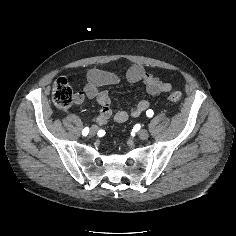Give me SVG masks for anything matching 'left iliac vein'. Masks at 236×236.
<instances>
[{"label":"left iliac vein","instance_id":"obj_1","mask_svg":"<svg viewBox=\"0 0 236 236\" xmlns=\"http://www.w3.org/2000/svg\"><path fill=\"white\" fill-rule=\"evenodd\" d=\"M137 135H138V137H139L140 139H142V140H146V139H148V137H149V133H148V131L145 130V129L139 130Z\"/></svg>","mask_w":236,"mask_h":236}]
</instances>
